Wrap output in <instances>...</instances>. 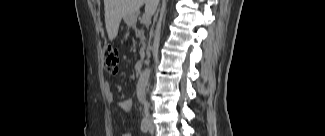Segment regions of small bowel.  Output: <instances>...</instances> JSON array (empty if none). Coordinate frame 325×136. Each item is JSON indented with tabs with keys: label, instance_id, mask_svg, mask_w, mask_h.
Listing matches in <instances>:
<instances>
[{
	"label": "small bowel",
	"instance_id": "c3829d8e",
	"mask_svg": "<svg viewBox=\"0 0 325 136\" xmlns=\"http://www.w3.org/2000/svg\"><path fill=\"white\" fill-rule=\"evenodd\" d=\"M105 90H106V96H107L108 101L113 102L114 94L108 85L106 86ZM120 106L125 111H132L133 107H134V101L131 98L125 99V100L121 101Z\"/></svg>",
	"mask_w": 325,
	"mask_h": 136
}]
</instances>
